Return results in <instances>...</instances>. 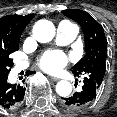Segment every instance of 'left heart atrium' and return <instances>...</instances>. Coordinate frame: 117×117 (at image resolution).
Returning a JSON list of instances; mask_svg holds the SVG:
<instances>
[{"mask_svg":"<svg viewBox=\"0 0 117 117\" xmlns=\"http://www.w3.org/2000/svg\"><path fill=\"white\" fill-rule=\"evenodd\" d=\"M69 58L61 51L46 52L39 60V67L48 72L56 73L68 64Z\"/></svg>","mask_w":117,"mask_h":117,"instance_id":"1","label":"left heart atrium"}]
</instances>
